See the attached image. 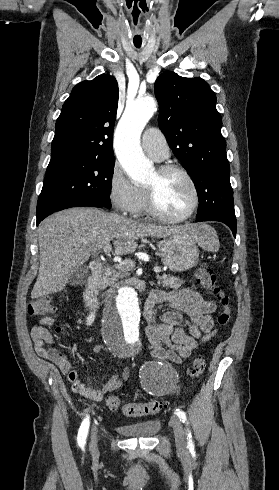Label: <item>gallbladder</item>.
I'll list each match as a JSON object with an SVG mask.
<instances>
[{
	"label": "gallbladder",
	"mask_w": 279,
	"mask_h": 490,
	"mask_svg": "<svg viewBox=\"0 0 279 490\" xmlns=\"http://www.w3.org/2000/svg\"><path fill=\"white\" fill-rule=\"evenodd\" d=\"M89 276V270L87 266H76L73 272L70 274L69 284L70 286H84Z\"/></svg>",
	"instance_id": "1"
}]
</instances>
